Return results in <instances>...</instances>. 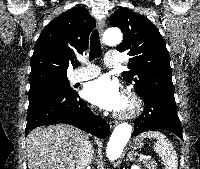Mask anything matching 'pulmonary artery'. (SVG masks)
I'll return each mask as SVG.
<instances>
[{"label":"pulmonary artery","instance_id":"1","mask_svg":"<svg viewBox=\"0 0 200 169\" xmlns=\"http://www.w3.org/2000/svg\"><path fill=\"white\" fill-rule=\"evenodd\" d=\"M120 62H121V57L117 52H109L108 57L105 60V64L108 67L117 66ZM99 73L100 70L97 67H94L91 70H86L82 68L73 74L71 81L74 83L87 81L96 77L97 75H99Z\"/></svg>","mask_w":200,"mask_h":169}]
</instances>
